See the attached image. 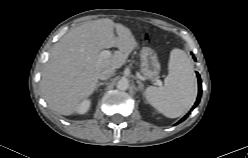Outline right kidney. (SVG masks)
<instances>
[{
  "label": "right kidney",
  "instance_id": "right-kidney-1",
  "mask_svg": "<svg viewBox=\"0 0 248 158\" xmlns=\"http://www.w3.org/2000/svg\"><path fill=\"white\" fill-rule=\"evenodd\" d=\"M91 106V101L90 100H83L77 107L76 112L79 114H84L86 113Z\"/></svg>",
  "mask_w": 248,
  "mask_h": 158
}]
</instances>
